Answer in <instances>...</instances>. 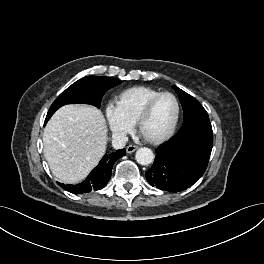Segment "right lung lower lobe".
<instances>
[{"mask_svg":"<svg viewBox=\"0 0 264 264\" xmlns=\"http://www.w3.org/2000/svg\"><path fill=\"white\" fill-rule=\"evenodd\" d=\"M125 154V149H122L118 150L116 153L104 155L99 164L91 171V173L82 183L76 185H65L60 183L58 184L64 190L74 194H84L102 189L111 178L112 166L114 162L117 159L123 157Z\"/></svg>","mask_w":264,"mask_h":264,"instance_id":"right-lung-lower-lobe-1","label":"right lung lower lobe"}]
</instances>
